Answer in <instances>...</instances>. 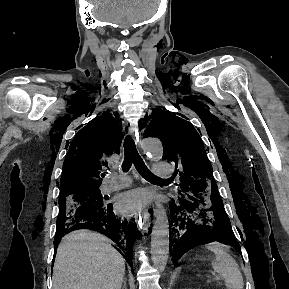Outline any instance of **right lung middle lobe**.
I'll list each match as a JSON object with an SVG mask.
<instances>
[{
  "instance_id": "1",
  "label": "right lung middle lobe",
  "mask_w": 289,
  "mask_h": 289,
  "mask_svg": "<svg viewBox=\"0 0 289 289\" xmlns=\"http://www.w3.org/2000/svg\"><path fill=\"white\" fill-rule=\"evenodd\" d=\"M103 200L99 189L60 196L57 229L67 225L73 218L92 214L102 209L106 205Z\"/></svg>"
}]
</instances>
